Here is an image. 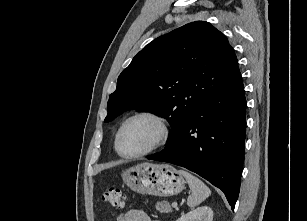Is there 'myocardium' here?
<instances>
[{"instance_id":"obj_1","label":"myocardium","mask_w":307,"mask_h":221,"mask_svg":"<svg viewBox=\"0 0 307 221\" xmlns=\"http://www.w3.org/2000/svg\"><path fill=\"white\" fill-rule=\"evenodd\" d=\"M139 118H147L155 122V124L158 127V135L156 139L154 140V142L152 143V145L146 150L139 152V153H135V154L123 153L120 149L121 135L125 127L131 121L139 119ZM169 136H170V127H169L167 120L163 116L159 115L158 113L151 112V111H141V112H137L131 115L121 124L120 128L117 131L116 137H115V149L119 153V155L122 156L123 158H126V159L140 158V157L146 156L156 151L161 146H163L167 142Z\"/></svg>"}]
</instances>
